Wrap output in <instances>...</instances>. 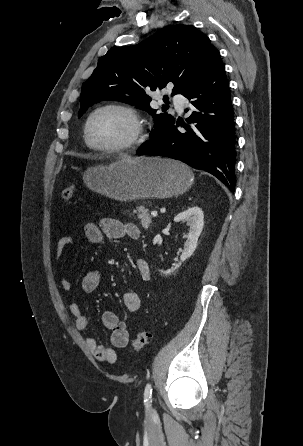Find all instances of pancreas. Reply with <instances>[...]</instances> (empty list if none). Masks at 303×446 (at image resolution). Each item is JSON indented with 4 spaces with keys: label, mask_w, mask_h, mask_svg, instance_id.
<instances>
[{
    "label": "pancreas",
    "mask_w": 303,
    "mask_h": 446,
    "mask_svg": "<svg viewBox=\"0 0 303 446\" xmlns=\"http://www.w3.org/2000/svg\"><path fill=\"white\" fill-rule=\"evenodd\" d=\"M137 215L140 219L141 225L144 228H148L152 222V217L149 214V210L146 209L144 206L137 207Z\"/></svg>",
    "instance_id": "pancreas-1"
}]
</instances>
